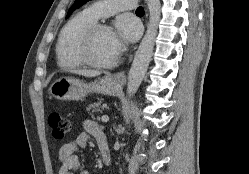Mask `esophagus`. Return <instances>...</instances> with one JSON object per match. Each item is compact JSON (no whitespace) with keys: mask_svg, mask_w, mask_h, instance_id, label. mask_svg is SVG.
<instances>
[{"mask_svg":"<svg viewBox=\"0 0 249 174\" xmlns=\"http://www.w3.org/2000/svg\"><path fill=\"white\" fill-rule=\"evenodd\" d=\"M113 79L120 85L126 82V75L124 72H118L113 75Z\"/></svg>","mask_w":249,"mask_h":174,"instance_id":"34e87169","label":"esophagus"}]
</instances>
